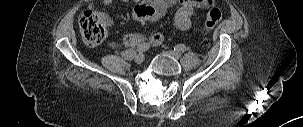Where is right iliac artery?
Segmentation results:
<instances>
[{"label": "right iliac artery", "instance_id": "right-iliac-artery-1", "mask_svg": "<svg viewBox=\"0 0 303 127\" xmlns=\"http://www.w3.org/2000/svg\"><path fill=\"white\" fill-rule=\"evenodd\" d=\"M149 48H150L149 44L143 43V44H140L136 50L139 53H143V52H146Z\"/></svg>", "mask_w": 303, "mask_h": 127}]
</instances>
